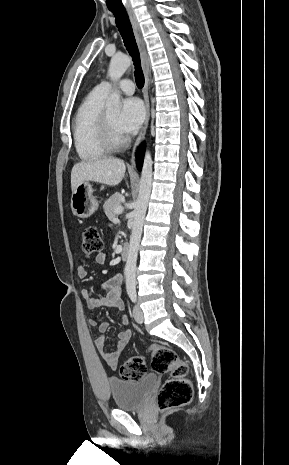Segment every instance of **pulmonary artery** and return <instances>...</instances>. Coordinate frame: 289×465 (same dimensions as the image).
<instances>
[{
	"label": "pulmonary artery",
	"instance_id": "1",
	"mask_svg": "<svg viewBox=\"0 0 289 465\" xmlns=\"http://www.w3.org/2000/svg\"><path fill=\"white\" fill-rule=\"evenodd\" d=\"M117 87H118V89L120 91H122L123 93L128 94V95L133 94L134 91H135V85L130 79L121 80L118 83ZM96 88L98 90H100L102 93L107 95L113 89V85H112V83H110L108 81H104V82L100 83Z\"/></svg>",
	"mask_w": 289,
	"mask_h": 465
}]
</instances>
